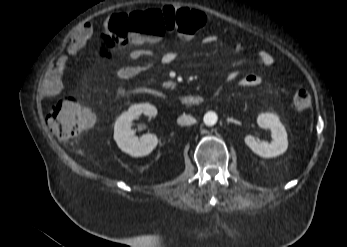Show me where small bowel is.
Masks as SVG:
<instances>
[{
  "instance_id": "c3829d8e",
  "label": "small bowel",
  "mask_w": 347,
  "mask_h": 247,
  "mask_svg": "<svg viewBox=\"0 0 347 247\" xmlns=\"http://www.w3.org/2000/svg\"><path fill=\"white\" fill-rule=\"evenodd\" d=\"M92 24L87 22L77 28L70 36L67 44V54L61 56L56 61L47 66L43 77L44 91L48 95H55L61 89L60 77L65 68L66 60L76 50L80 49L86 44L92 34ZM218 41V36L215 34H209L204 37V44H215ZM128 57L132 60H140L137 64H130L125 66L117 67L113 74L115 78L119 80H130L133 79L146 70H148L155 63V55L153 52L147 49H132L128 52ZM176 59L174 52H164L159 60L163 64H170ZM258 60L261 66L265 69L270 68L274 64V57L267 51H261L258 54ZM241 80L245 86H258L262 83V77L258 73L249 72L244 75L239 73H233L229 76L230 82Z\"/></svg>"
}]
</instances>
